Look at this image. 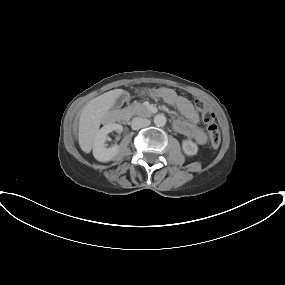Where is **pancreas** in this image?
<instances>
[{
    "label": "pancreas",
    "instance_id": "1",
    "mask_svg": "<svg viewBox=\"0 0 285 285\" xmlns=\"http://www.w3.org/2000/svg\"><path fill=\"white\" fill-rule=\"evenodd\" d=\"M125 110H126V111H129L131 114H134V113H135V112H134V109H133V106L128 107V108H126Z\"/></svg>",
    "mask_w": 285,
    "mask_h": 285
}]
</instances>
